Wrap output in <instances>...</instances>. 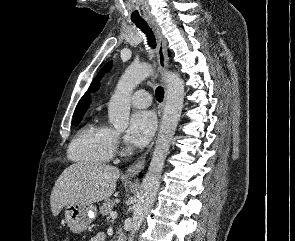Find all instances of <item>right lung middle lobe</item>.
<instances>
[{
  "mask_svg": "<svg viewBox=\"0 0 295 241\" xmlns=\"http://www.w3.org/2000/svg\"><path fill=\"white\" fill-rule=\"evenodd\" d=\"M82 117L83 116H77V117H74V120H73V125H78L80 123V121L82 120Z\"/></svg>",
  "mask_w": 295,
  "mask_h": 241,
  "instance_id": "dd1d6c3e",
  "label": "right lung middle lobe"
}]
</instances>
